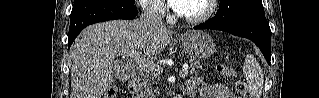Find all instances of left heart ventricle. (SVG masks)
Returning a JSON list of instances; mask_svg holds the SVG:
<instances>
[{
	"label": "left heart ventricle",
	"mask_w": 319,
	"mask_h": 98,
	"mask_svg": "<svg viewBox=\"0 0 319 98\" xmlns=\"http://www.w3.org/2000/svg\"><path fill=\"white\" fill-rule=\"evenodd\" d=\"M205 0H190L185 3V7L180 11L181 14L187 16H196L205 10Z\"/></svg>",
	"instance_id": "b2bd125f"
}]
</instances>
